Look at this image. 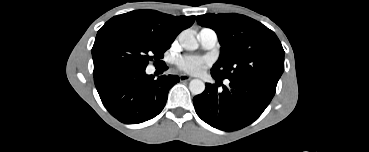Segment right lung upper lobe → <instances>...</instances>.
<instances>
[{
	"label": "right lung upper lobe",
	"instance_id": "1",
	"mask_svg": "<svg viewBox=\"0 0 369 152\" xmlns=\"http://www.w3.org/2000/svg\"><path fill=\"white\" fill-rule=\"evenodd\" d=\"M132 25L149 34L159 42L171 45L176 36L189 28L195 21V16L174 17L155 10H135L110 19Z\"/></svg>",
	"mask_w": 369,
	"mask_h": 152
}]
</instances>
